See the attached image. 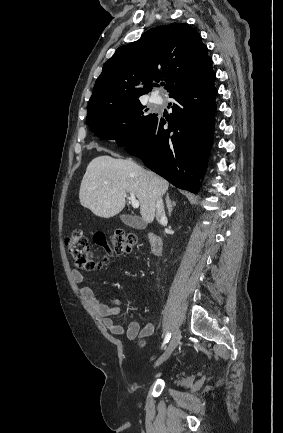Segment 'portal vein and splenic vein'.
Masks as SVG:
<instances>
[{
	"instance_id": "1",
	"label": "portal vein and splenic vein",
	"mask_w": 283,
	"mask_h": 433,
	"mask_svg": "<svg viewBox=\"0 0 283 433\" xmlns=\"http://www.w3.org/2000/svg\"><path fill=\"white\" fill-rule=\"evenodd\" d=\"M129 198H130V200L132 202L133 208H138V206H139V200H136L135 194H134V192H132V190L130 192Z\"/></svg>"
}]
</instances>
